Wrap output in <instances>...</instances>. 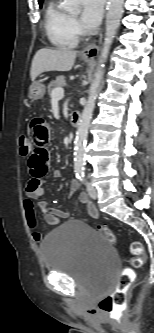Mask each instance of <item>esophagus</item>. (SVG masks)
Masks as SVG:
<instances>
[{
    "label": "esophagus",
    "mask_w": 154,
    "mask_h": 333,
    "mask_svg": "<svg viewBox=\"0 0 154 333\" xmlns=\"http://www.w3.org/2000/svg\"><path fill=\"white\" fill-rule=\"evenodd\" d=\"M98 51H99V47H98L97 41H94L82 49L81 55L84 57L93 58L98 54Z\"/></svg>",
    "instance_id": "esophagus-1"
}]
</instances>
